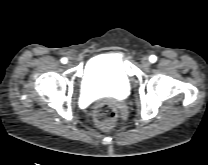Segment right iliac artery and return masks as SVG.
I'll use <instances>...</instances> for the list:
<instances>
[{
	"label": "right iliac artery",
	"instance_id": "obj_1",
	"mask_svg": "<svg viewBox=\"0 0 208 165\" xmlns=\"http://www.w3.org/2000/svg\"><path fill=\"white\" fill-rule=\"evenodd\" d=\"M61 62H62V63H66V62H67V58H65V57L62 58V59H61Z\"/></svg>",
	"mask_w": 208,
	"mask_h": 165
}]
</instances>
